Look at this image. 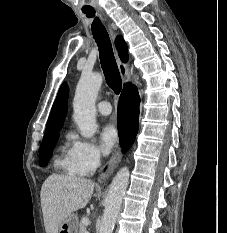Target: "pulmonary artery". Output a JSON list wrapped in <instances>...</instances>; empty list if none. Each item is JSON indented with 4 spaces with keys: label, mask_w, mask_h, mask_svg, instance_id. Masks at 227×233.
<instances>
[{
    "label": "pulmonary artery",
    "mask_w": 227,
    "mask_h": 233,
    "mask_svg": "<svg viewBox=\"0 0 227 233\" xmlns=\"http://www.w3.org/2000/svg\"><path fill=\"white\" fill-rule=\"evenodd\" d=\"M97 109L99 113L103 116H108L112 112V107L109 102L107 101H101L97 105Z\"/></svg>",
    "instance_id": "pulmonary-artery-1"
}]
</instances>
